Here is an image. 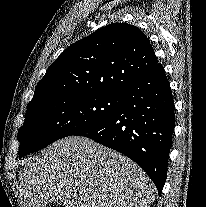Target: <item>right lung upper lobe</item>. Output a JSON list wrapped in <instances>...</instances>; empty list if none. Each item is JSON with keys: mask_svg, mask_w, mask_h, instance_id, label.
Returning <instances> with one entry per match:
<instances>
[{"mask_svg": "<svg viewBox=\"0 0 206 207\" xmlns=\"http://www.w3.org/2000/svg\"><path fill=\"white\" fill-rule=\"evenodd\" d=\"M158 64L139 28L112 23L64 50L37 84L27 108L57 97L122 94Z\"/></svg>", "mask_w": 206, "mask_h": 207, "instance_id": "right-lung-upper-lobe-1", "label": "right lung upper lobe"}]
</instances>
